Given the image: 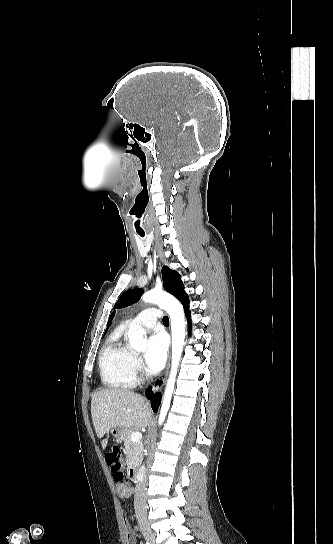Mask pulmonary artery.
<instances>
[{"label": "pulmonary artery", "instance_id": "obj_1", "mask_svg": "<svg viewBox=\"0 0 333 544\" xmlns=\"http://www.w3.org/2000/svg\"><path fill=\"white\" fill-rule=\"evenodd\" d=\"M160 317H162L161 310L157 308H147L141 311L136 317L127 320L126 324H138L145 328H154Z\"/></svg>", "mask_w": 333, "mask_h": 544}]
</instances>
